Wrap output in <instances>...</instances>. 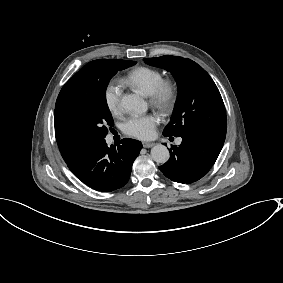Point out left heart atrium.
<instances>
[{
    "mask_svg": "<svg viewBox=\"0 0 283 283\" xmlns=\"http://www.w3.org/2000/svg\"><path fill=\"white\" fill-rule=\"evenodd\" d=\"M160 121L158 113H147L144 115L130 114L123 123V131L139 138H150L155 134V127Z\"/></svg>",
    "mask_w": 283,
    "mask_h": 283,
    "instance_id": "left-heart-atrium-1",
    "label": "left heart atrium"
}]
</instances>
